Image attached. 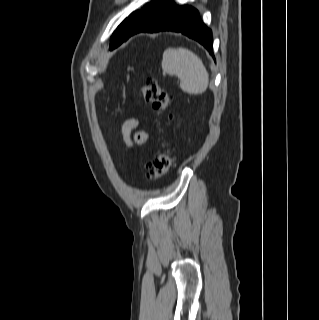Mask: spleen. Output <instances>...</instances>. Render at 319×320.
Segmentation results:
<instances>
[{
	"label": "spleen",
	"instance_id": "1",
	"mask_svg": "<svg viewBox=\"0 0 319 320\" xmlns=\"http://www.w3.org/2000/svg\"><path fill=\"white\" fill-rule=\"evenodd\" d=\"M161 66L165 73L180 79V88L188 94H201L208 87L209 75L202 60L186 48L166 49Z\"/></svg>",
	"mask_w": 319,
	"mask_h": 320
}]
</instances>
